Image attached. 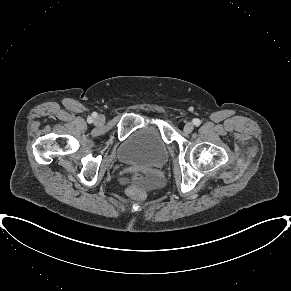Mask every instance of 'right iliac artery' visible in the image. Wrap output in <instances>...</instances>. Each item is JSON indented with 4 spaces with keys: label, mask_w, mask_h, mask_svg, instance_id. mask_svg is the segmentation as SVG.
<instances>
[{
    "label": "right iliac artery",
    "mask_w": 291,
    "mask_h": 291,
    "mask_svg": "<svg viewBox=\"0 0 291 291\" xmlns=\"http://www.w3.org/2000/svg\"><path fill=\"white\" fill-rule=\"evenodd\" d=\"M93 116L96 117V114H93ZM92 121H93V117H89V118H88V122L91 123Z\"/></svg>",
    "instance_id": "82829eb1"
}]
</instances>
